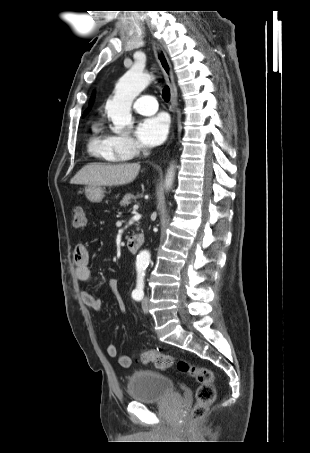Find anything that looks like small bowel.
Here are the masks:
<instances>
[{
  "mask_svg": "<svg viewBox=\"0 0 310 453\" xmlns=\"http://www.w3.org/2000/svg\"><path fill=\"white\" fill-rule=\"evenodd\" d=\"M73 262L75 277L77 280L85 284L93 283L94 277L89 268V251L84 244L79 243L75 246L73 252ZM108 289L111 295L115 298L119 310L124 312L125 303L120 293L119 279L116 277L109 278ZM81 296L84 303L93 310L100 311L102 309V301L97 296L89 293L88 291H82ZM106 353L112 358H117L118 364L121 367L128 368L133 363L134 357L127 354H118L117 348L114 344L110 343L106 345Z\"/></svg>",
  "mask_w": 310,
  "mask_h": 453,
  "instance_id": "obj_1",
  "label": "small bowel"
}]
</instances>
